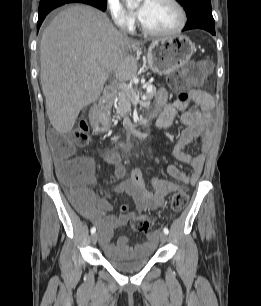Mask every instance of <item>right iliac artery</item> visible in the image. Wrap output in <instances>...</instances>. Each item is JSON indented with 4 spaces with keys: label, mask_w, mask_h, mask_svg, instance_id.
I'll use <instances>...</instances> for the list:
<instances>
[{
    "label": "right iliac artery",
    "mask_w": 261,
    "mask_h": 306,
    "mask_svg": "<svg viewBox=\"0 0 261 306\" xmlns=\"http://www.w3.org/2000/svg\"><path fill=\"white\" fill-rule=\"evenodd\" d=\"M96 232V228L95 227H92L91 228V233L93 234V233H95Z\"/></svg>",
    "instance_id": "right-iliac-artery-1"
}]
</instances>
